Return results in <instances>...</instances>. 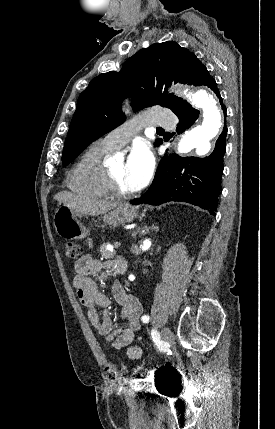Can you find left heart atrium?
<instances>
[{
    "instance_id": "1",
    "label": "left heart atrium",
    "mask_w": 275,
    "mask_h": 429,
    "mask_svg": "<svg viewBox=\"0 0 275 429\" xmlns=\"http://www.w3.org/2000/svg\"><path fill=\"white\" fill-rule=\"evenodd\" d=\"M153 169V155L149 145L137 142L125 162V179L132 191L139 190L149 180Z\"/></svg>"
}]
</instances>
